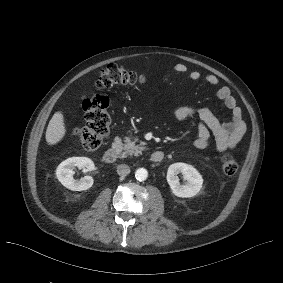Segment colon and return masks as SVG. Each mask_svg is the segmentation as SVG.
Returning <instances> with one entry per match:
<instances>
[{
    "label": "colon",
    "instance_id": "1",
    "mask_svg": "<svg viewBox=\"0 0 283 283\" xmlns=\"http://www.w3.org/2000/svg\"><path fill=\"white\" fill-rule=\"evenodd\" d=\"M145 82L144 76L124 66L110 64L103 69L96 81V87L106 90L118 85H137ZM85 125L77 128L75 134L81 145L88 151L100 147L108 135L111 117L108 111L109 98L101 93H95L82 103ZM239 169V163L230 154L221 158V171L225 176H233Z\"/></svg>",
    "mask_w": 283,
    "mask_h": 283
}]
</instances>
